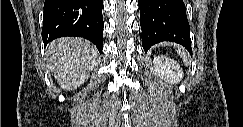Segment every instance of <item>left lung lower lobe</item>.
<instances>
[{"label": "left lung lower lobe", "instance_id": "1", "mask_svg": "<svg viewBox=\"0 0 243 127\" xmlns=\"http://www.w3.org/2000/svg\"><path fill=\"white\" fill-rule=\"evenodd\" d=\"M145 52L162 41L176 42L190 53V26L183 0H138Z\"/></svg>", "mask_w": 243, "mask_h": 127}]
</instances>
